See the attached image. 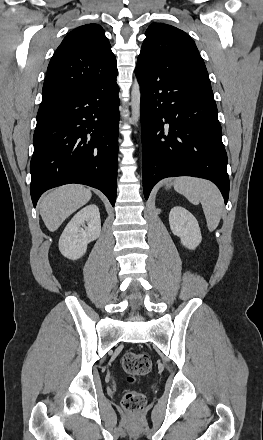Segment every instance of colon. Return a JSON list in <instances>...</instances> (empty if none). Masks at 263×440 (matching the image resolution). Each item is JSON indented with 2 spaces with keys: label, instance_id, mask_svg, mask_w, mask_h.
Here are the masks:
<instances>
[{
  "label": "colon",
  "instance_id": "1",
  "mask_svg": "<svg viewBox=\"0 0 263 440\" xmlns=\"http://www.w3.org/2000/svg\"><path fill=\"white\" fill-rule=\"evenodd\" d=\"M152 365V357L143 352H127L122 359V366L129 383H133L137 376L148 374ZM146 404L147 398L142 392L128 390L123 394L122 407L129 413H140L145 409Z\"/></svg>",
  "mask_w": 263,
  "mask_h": 440
}]
</instances>
